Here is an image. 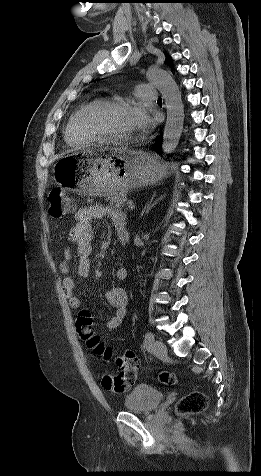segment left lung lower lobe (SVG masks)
<instances>
[{
  "instance_id": "0a47b994",
  "label": "left lung lower lobe",
  "mask_w": 261,
  "mask_h": 476,
  "mask_svg": "<svg viewBox=\"0 0 261 476\" xmlns=\"http://www.w3.org/2000/svg\"><path fill=\"white\" fill-rule=\"evenodd\" d=\"M152 148L156 152H161L162 151V137L158 138L155 143L153 144Z\"/></svg>"
}]
</instances>
